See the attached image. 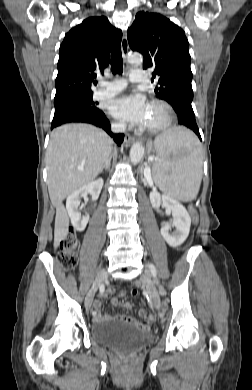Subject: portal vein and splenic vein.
Instances as JSON below:
<instances>
[{"label":"portal vein and splenic vein","mask_w":252,"mask_h":390,"mask_svg":"<svg viewBox=\"0 0 252 390\" xmlns=\"http://www.w3.org/2000/svg\"><path fill=\"white\" fill-rule=\"evenodd\" d=\"M148 160L149 161H156L157 158L150 157ZM145 175H147L150 178V169L149 168H145Z\"/></svg>","instance_id":"18ae733b"}]
</instances>
